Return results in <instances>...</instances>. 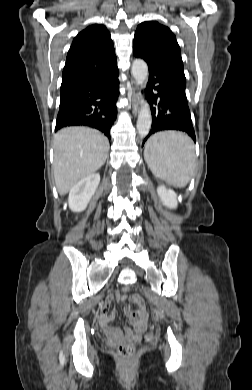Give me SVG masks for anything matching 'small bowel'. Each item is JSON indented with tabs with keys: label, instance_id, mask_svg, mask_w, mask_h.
Instances as JSON below:
<instances>
[{
	"label": "small bowel",
	"instance_id": "obj_1",
	"mask_svg": "<svg viewBox=\"0 0 252 390\" xmlns=\"http://www.w3.org/2000/svg\"><path fill=\"white\" fill-rule=\"evenodd\" d=\"M115 297H118L122 301L126 299V296L121 295L119 292L109 294L106 297L104 308L101 313V321L104 324L109 323L114 318V313L109 310V307ZM134 302L138 305L136 311H133L130 306H125L124 311L130 320L135 335L140 337L146 332L148 327V311L141 299ZM124 331L129 333L128 329H125Z\"/></svg>",
	"mask_w": 252,
	"mask_h": 390
}]
</instances>
